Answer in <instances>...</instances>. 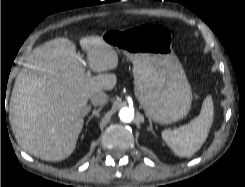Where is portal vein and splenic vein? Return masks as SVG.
<instances>
[{
  "label": "portal vein and splenic vein",
  "instance_id": "portal-vein-and-splenic-vein-1",
  "mask_svg": "<svg viewBox=\"0 0 245 187\" xmlns=\"http://www.w3.org/2000/svg\"><path fill=\"white\" fill-rule=\"evenodd\" d=\"M87 74H88V75H90V74H91L90 70H88V71H87Z\"/></svg>",
  "mask_w": 245,
  "mask_h": 187
}]
</instances>
